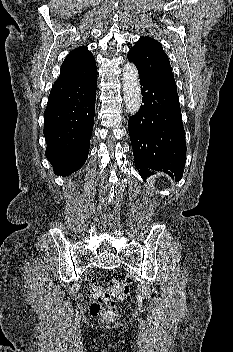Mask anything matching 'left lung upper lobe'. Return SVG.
Wrapping results in <instances>:
<instances>
[{"label": "left lung upper lobe", "instance_id": "left-lung-upper-lobe-1", "mask_svg": "<svg viewBox=\"0 0 233 352\" xmlns=\"http://www.w3.org/2000/svg\"><path fill=\"white\" fill-rule=\"evenodd\" d=\"M128 60L135 64L138 72L177 90L168 56L155 39L141 37L129 50Z\"/></svg>", "mask_w": 233, "mask_h": 352}]
</instances>
